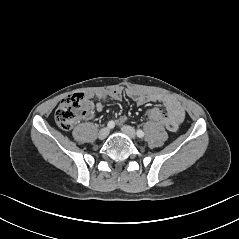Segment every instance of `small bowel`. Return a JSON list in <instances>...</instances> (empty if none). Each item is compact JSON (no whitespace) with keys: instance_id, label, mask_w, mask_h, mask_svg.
Masks as SVG:
<instances>
[{"instance_id":"1","label":"small bowel","mask_w":239,"mask_h":239,"mask_svg":"<svg viewBox=\"0 0 239 239\" xmlns=\"http://www.w3.org/2000/svg\"><path fill=\"white\" fill-rule=\"evenodd\" d=\"M127 96L135 101L139 105L146 104L148 102H156L161 103L165 107L167 111V115H165V120L162 122L165 124L166 128L171 132H176L183 122L185 117V111L182 105L175 98L161 94V93H144L138 90L130 89L127 91ZM98 101L95 104V108L97 111H102L104 109L103 100L107 97L119 101L122 99L123 94L120 90H112L105 93L97 94ZM154 120V119H151ZM155 121V120H154ZM125 122L124 118H120L117 120L118 125H122Z\"/></svg>"}]
</instances>
